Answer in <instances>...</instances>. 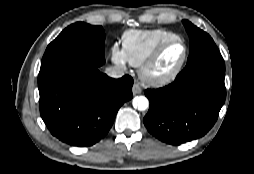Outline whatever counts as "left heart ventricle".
I'll return each instance as SVG.
<instances>
[{
    "label": "left heart ventricle",
    "instance_id": "obj_1",
    "mask_svg": "<svg viewBox=\"0 0 254 174\" xmlns=\"http://www.w3.org/2000/svg\"><path fill=\"white\" fill-rule=\"evenodd\" d=\"M183 54L184 48L181 43L170 45L160 56L154 67V73L161 75L171 71L181 61Z\"/></svg>",
    "mask_w": 254,
    "mask_h": 174
}]
</instances>
